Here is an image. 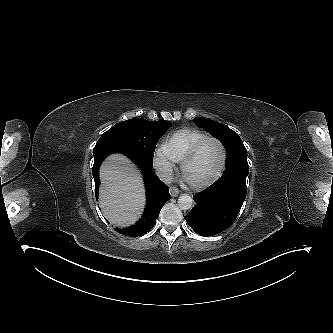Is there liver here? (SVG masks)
<instances>
[{"label":"liver","mask_w":333,"mask_h":333,"mask_svg":"<svg viewBox=\"0 0 333 333\" xmlns=\"http://www.w3.org/2000/svg\"><path fill=\"white\" fill-rule=\"evenodd\" d=\"M100 179L99 205L106 219L118 227L135 223L145 205L139 170L124 155L113 154L102 164Z\"/></svg>","instance_id":"liver-1"}]
</instances>
